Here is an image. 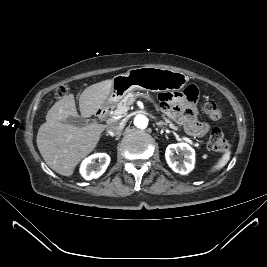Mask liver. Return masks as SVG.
I'll return each mask as SVG.
<instances>
[{
  "instance_id": "liver-1",
  "label": "liver",
  "mask_w": 267,
  "mask_h": 267,
  "mask_svg": "<svg viewBox=\"0 0 267 267\" xmlns=\"http://www.w3.org/2000/svg\"><path fill=\"white\" fill-rule=\"evenodd\" d=\"M113 79L90 85L79 97L82 117L94 115L107 100ZM79 117L73 94L65 95L48 111L46 122L37 134V146L46 164L63 176H71L77 164L91 153L105 126L98 123L77 127L66 123L68 117Z\"/></svg>"
}]
</instances>
